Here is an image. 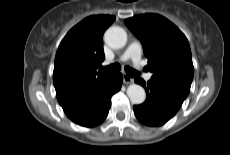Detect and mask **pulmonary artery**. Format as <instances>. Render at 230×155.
<instances>
[{
	"label": "pulmonary artery",
	"instance_id": "1",
	"mask_svg": "<svg viewBox=\"0 0 230 155\" xmlns=\"http://www.w3.org/2000/svg\"><path fill=\"white\" fill-rule=\"evenodd\" d=\"M141 52V44L137 41H134L129 44V46L124 51L119 60L123 62L131 60L135 65H139L141 59ZM146 78L150 79V75H147Z\"/></svg>",
	"mask_w": 230,
	"mask_h": 155
}]
</instances>
